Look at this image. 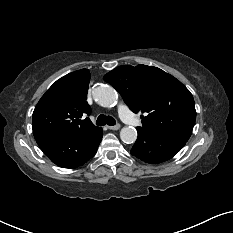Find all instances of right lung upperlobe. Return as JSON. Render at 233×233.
Instances as JSON below:
<instances>
[{
	"label": "right lung upper lobe",
	"instance_id": "right-lung-upper-lobe-1",
	"mask_svg": "<svg viewBox=\"0 0 233 233\" xmlns=\"http://www.w3.org/2000/svg\"><path fill=\"white\" fill-rule=\"evenodd\" d=\"M90 82L88 69H81L57 80L41 97L33 112L32 128L35 139L46 137L77 138L95 127L89 118L86 102Z\"/></svg>",
	"mask_w": 233,
	"mask_h": 233
}]
</instances>
